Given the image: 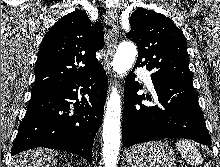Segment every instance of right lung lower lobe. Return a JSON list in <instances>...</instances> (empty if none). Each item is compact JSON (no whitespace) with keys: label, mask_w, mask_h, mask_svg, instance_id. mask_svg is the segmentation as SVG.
Instances as JSON below:
<instances>
[{"label":"right lung lower lobe","mask_w":220,"mask_h":167,"mask_svg":"<svg viewBox=\"0 0 220 167\" xmlns=\"http://www.w3.org/2000/svg\"><path fill=\"white\" fill-rule=\"evenodd\" d=\"M107 86V76L101 67L67 85L33 92L11 155L42 146L80 155L91 164ZM71 101H76L73 106Z\"/></svg>","instance_id":"98d812e1"}]
</instances>
